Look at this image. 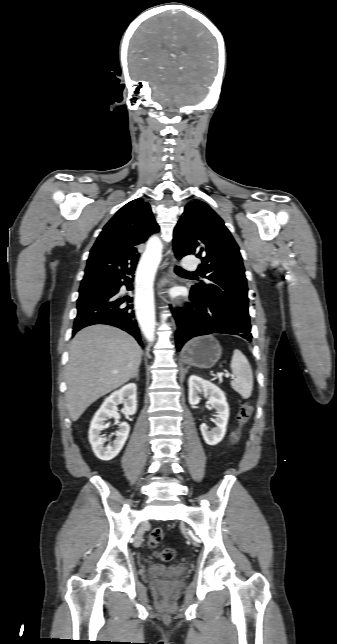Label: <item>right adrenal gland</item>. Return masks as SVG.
<instances>
[{
	"mask_svg": "<svg viewBox=\"0 0 337 644\" xmlns=\"http://www.w3.org/2000/svg\"><path fill=\"white\" fill-rule=\"evenodd\" d=\"M136 378V380H139V371L133 376V379Z\"/></svg>",
	"mask_w": 337,
	"mask_h": 644,
	"instance_id": "2a0ac1e0",
	"label": "right adrenal gland"
}]
</instances>
